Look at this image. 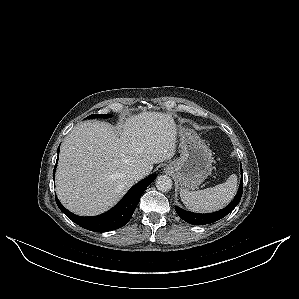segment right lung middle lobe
<instances>
[{
	"instance_id": "1",
	"label": "right lung middle lobe",
	"mask_w": 299,
	"mask_h": 299,
	"mask_svg": "<svg viewBox=\"0 0 299 299\" xmlns=\"http://www.w3.org/2000/svg\"><path fill=\"white\" fill-rule=\"evenodd\" d=\"M110 114H92L88 116L87 118H110Z\"/></svg>"
}]
</instances>
